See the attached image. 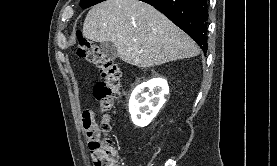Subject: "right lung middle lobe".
I'll use <instances>...</instances> for the list:
<instances>
[{
	"label": "right lung middle lobe",
	"mask_w": 277,
	"mask_h": 166,
	"mask_svg": "<svg viewBox=\"0 0 277 166\" xmlns=\"http://www.w3.org/2000/svg\"><path fill=\"white\" fill-rule=\"evenodd\" d=\"M104 0H81L79 5L81 8H89L97 3H100Z\"/></svg>",
	"instance_id": "right-lung-middle-lobe-1"
}]
</instances>
